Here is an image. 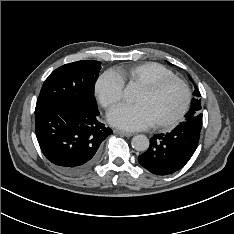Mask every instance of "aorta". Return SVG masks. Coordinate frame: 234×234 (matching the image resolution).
I'll return each instance as SVG.
<instances>
[{
  "mask_svg": "<svg viewBox=\"0 0 234 234\" xmlns=\"http://www.w3.org/2000/svg\"><path fill=\"white\" fill-rule=\"evenodd\" d=\"M132 88L130 86H127L124 94L127 98L131 96ZM132 147L137 151H146L149 148V139L143 135L139 134L132 138L131 141Z\"/></svg>",
  "mask_w": 234,
  "mask_h": 234,
  "instance_id": "obj_1",
  "label": "aorta"
}]
</instances>
